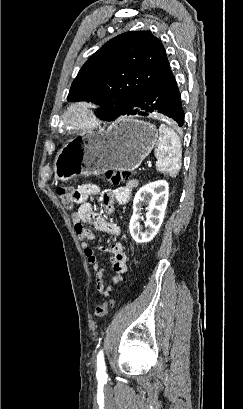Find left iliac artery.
I'll use <instances>...</instances> for the list:
<instances>
[{
  "label": "left iliac artery",
  "mask_w": 243,
  "mask_h": 409,
  "mask_svg": "<svg viewBox=\"0 0 243 409\" xmlns=\"http://www.w3.org/2000/svg\"><path fill=\"white\" fill-rule=\"evenodd\" d=\"M106 366L104 362V354L103 351L100 350L97 355V378L98 380L106 379Z\"/></svg>",
  "instance_id": "obj_1"
}]
</instances>
